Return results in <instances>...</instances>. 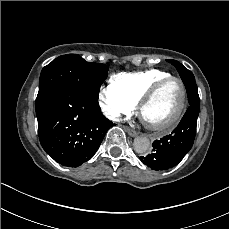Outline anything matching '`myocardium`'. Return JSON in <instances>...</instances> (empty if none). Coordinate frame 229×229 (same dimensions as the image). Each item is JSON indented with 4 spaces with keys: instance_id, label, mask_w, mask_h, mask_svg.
<instances>
[{
    "instance_id": "1",
    "label": "myocardium",
    "mask_w": 229,
    "mask_h": 229,
    "mask_svg": "<svg viewBox=\"0 0 229 229\" xmlns=\"http://www.w3.org/2000/svg\"><path fill=\"white\" fill-rule=\"evenodd\" d=\"M177 80L181 84L178 85V103L176 105V110L170 115V118L166 120L165 124H160L159 127L148 125L149 129L152 130L157 135H165L174 130L186 116L188 109L191 104V96L187 89L185 81L179 77L171 75L166 78L158 80L152 85L151 89H148L142 94V98L138 99L137 109L142 117L144 107L148 104L149 100L164 86L168 85L170 81ZM183 110V111H182ZM182 111V113H181ZM143 119V118H142Z\"/></svg>"
}]
</instances>
